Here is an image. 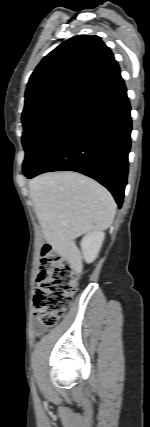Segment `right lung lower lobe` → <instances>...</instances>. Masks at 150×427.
I'll list each match as a JSON object with an SVG mask.
<instances>
[{
  "label": "right lung lower lobe",
  "instance_id": "obj_1",
  "mask_svg": "<svg viewBox=\"0 0 150 427\" xmlns=\"http://www.w3.org/2000/svg\"><path fill=\"white\" fill-rule=\"evenodd\" d=\"M123 79L82 104L52 144L33 178L50 171H76L94 178L122 205L132 130Z\"/></svg>",
  "mask_w": 150,
  "mask_h": 427
}]
</instances>
